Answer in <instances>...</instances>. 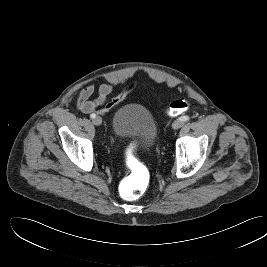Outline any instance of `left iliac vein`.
Here are the masks:
<instances>
[{"instance_id": "1", "label": "left iliac vein", "mask_w": 267, "mask_h": 267, "mask_svg": "<svg viewBox=\"0 0 267 267\" xmlns=\"http://www.w3.org/2000/svg\"><path fill=\"white\" fill-rule=\"evenodd\" d=\"M183 125H184V121H182V120H180V119H177V120H175V121L173 122V124H172V128L176 130V129L181 128Z\"/></svg>"}]
</instances>
